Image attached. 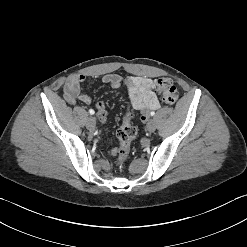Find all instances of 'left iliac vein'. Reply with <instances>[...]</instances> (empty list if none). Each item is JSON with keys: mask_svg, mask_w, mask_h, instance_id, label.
I'll use <instances>...</instances> for the list:
<instances>
[{"mask_svg": "<svg viewBox=\"0 0 247 247\" xmlns=\"http://www.w3.org/2000/svg\"><path fill=\"white\" fill-rule=\"evenodd\" d=\"M147 130L149 132H154L155 129H156V123L153 119H150L147 123V126H146Z\"/></svg>", "mask_w": 247, "mask_h": 247, "instance_id": "4c4485c4", "label": "left iliac vein"}]
</instances>
